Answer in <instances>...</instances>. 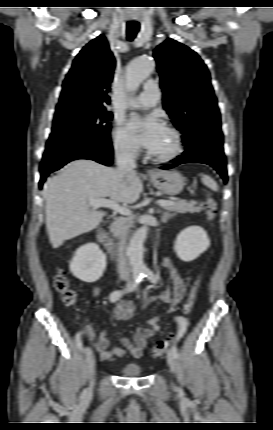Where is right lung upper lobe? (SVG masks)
<instances>
[{
  "label": "right lung upper lobe",
  "instance_id": "cb5924a9",
  "mask_svg": "<svg viewBox=\"0 0 273 430\" xmlns=\"http://www.w3.org/2000/svg\"><path fill=\"white\" fill-rule=\"evenodd\" d=\"M114 67L115 59L104 35L90 41L66 75L57 108L73 104L105 108L110 103Z\"/></svg>",
  "mask_w": 273,
  "mask_h": 430
}]
</instances>
